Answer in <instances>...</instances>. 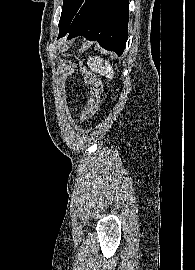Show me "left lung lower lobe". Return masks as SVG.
Wrapping results in <instances>:
<instances>
[{"instance_id": "obj_1", "label": "left lung lower lobe", "mask_w": 195, "mask_h": 270, "mask_svg": "<svg viewBox=\"0 0 195 270\" xmlns=\"http://www.w3.org/2000/svg\"><path fill=\"white\" fill-rule=\"evenodd\" d=\"M128 0H85L70 25L59 33L68 39L84 36L122 55L128 38Z\"/></svg>"}]
</instances>
